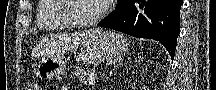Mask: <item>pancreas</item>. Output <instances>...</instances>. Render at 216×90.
<instances>
[{"instance_id":"obj_1","label":"pancreas","mask_w":216,"mask_h":90,"mask_svg":"<svg viewBox=\"0 0 216 90\" xmlns=\"http://www.w3.org/2000/svg\"><path fill=\"white\" fill-rule=\"evenodd\" d=\"M76 78L78 80H81V82H84V84H89L91 78L94 80V78H97L95 76V70H92V68H84V70H80V68H76V72H74ZM93 86V84H91Z\"/></svg>"}]
</instances>
